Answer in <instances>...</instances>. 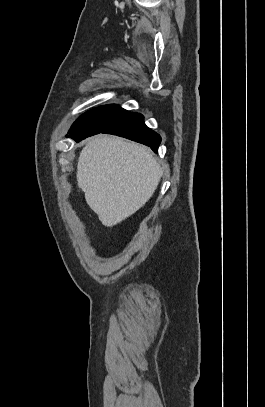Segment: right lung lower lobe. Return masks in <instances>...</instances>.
<instances>
[{"mask_svg": "<svg viewBox=\"0 0 265 407\" xmlns=\"http://www.w3.org/2000/svg\"><path fill=\"white\" fill-rule=\"evenodd\" d=\"M101 132L118 135L145 144L151 147V149L155 152H157L158 146L161 142L160 135L154 132L153 130L149 129L144 124V117L138 113L129 114L124 119L120 120L119 122L115 123L114 125L110 126L109 128ZM70 137L75 139L76 141H79L88 136L76 138V136L70 135Z\"/></svg>", "mask_w": 265, "mask_h": 407, "instance_id": "1", "label": "right lung lower lobe"}]
</instances>
